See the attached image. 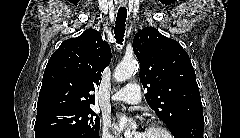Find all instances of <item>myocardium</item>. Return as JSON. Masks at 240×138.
Wrapping results in <instances>:
<instances>
[{
  "instance_id": "myocardium-1",
  "label": "myocardium",
  "mask_w": 240,
  "mask_h": 138,
  "mask_svg": "<svg viewBox=\"0 0 240 138\" xmlns=\"http://www.w3.org/2000/svg\"><path fill=\"white\" fill-rule=\"evenodd\" d=\"M147 129L159 131L165 135V138H173L172 133L166 127H164L160 124L151 123L147 126Z\"/></svg>"
}]
</instances>
